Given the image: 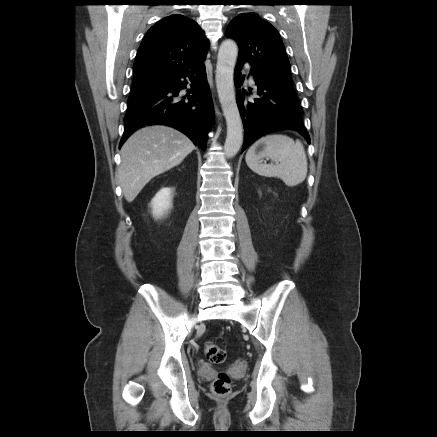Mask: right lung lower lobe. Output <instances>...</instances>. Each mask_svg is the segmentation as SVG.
Returning <instances> with one entry per match:
<instances>
[{
  "label": "right lung lower lobe",
  "instance_id": "98d812e1",
  "mask_svg": "<svg viewBox=\"0 0 437 437\" xmlns=\"http://www.w3.org/2000/svg\"><path fill=\"white\" fill-rule=\"evenodd\" d=\"M187 93L182 90L187 88ZM213 105L203 61L164 79L159 85L127 100L125 131L120 146L138 128L164 124L186 134L205 150Z\"/></svg>",
  "mask_w": 437,
  "mask_h": 437
}]
</instances>
